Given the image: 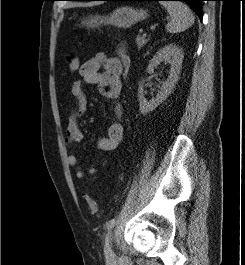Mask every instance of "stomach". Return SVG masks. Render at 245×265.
<instances>
[{"label": "stomach", "instance_id": "0dacf381", "mask_svg": "<svg viewBox=\"0 0 245 265\" xmlns=\"http://www.w3.org/2000/svg\"><path fill=\"white\" fill-rule=\"evenodd\" d=\"M147 11L143 9H135L130 6L117 8L110 15H90L78 20L77 26L96 28L100 25H113L118 28H129L135 23L146 19Z\"/></svg>", "mask_w": 245, "mask_h": 265}]
</instances>
